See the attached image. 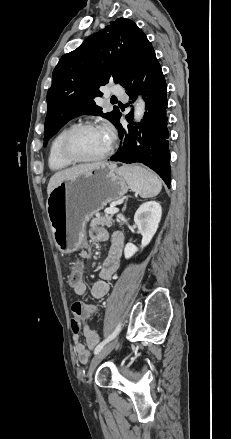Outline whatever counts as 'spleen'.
Returning <instances> with one entry per match:
<instances>
[{"label": "spleen", "instance_id": "obj_1", "mask_svg": "<svg viewBox=\"0 0 231 439\" xmlns=\"http://www.w3.org/2000/svg\"><path fill=\"white\" fill-rule=\"evenodd\" d=\"M119 172L126 179L130 189L142 198L154 197L162 189L158 176L141 166H122Z\"/></svg>", "mask_w": 231, "mask_h": 439}]
</instances>
